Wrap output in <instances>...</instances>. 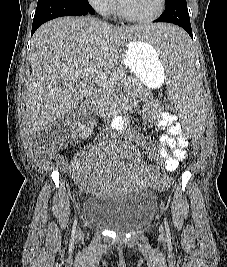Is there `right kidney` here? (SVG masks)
<instances>
[{
  "mask_svg": "<svg viewBox=\"0 0 227 267\" xmlns=\"http://www.w3.org/2000/svg\"><path fill=\"white\" fill-rule=\"evenodd\" d=\"M76 131H77V136L80 139L88 138L92 132V130L90 128H86L85 126H82V125H80Z\"/></svg>",
  "mask_w": 227,
  "mask_h": 267,
  "instance_id": "right-kidney-1",
  "label": "right kidney"
}]
</instances>
